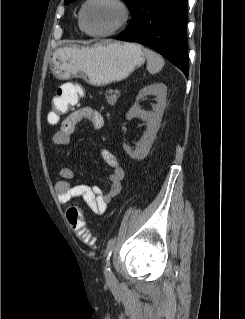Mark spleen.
<instances>
[{
    "label": "spleen",
    "instance_id": "1",
    "mask_svg": "<svg viewBox=\"0 0 245 319\" xmlns=\"http://www.w3.org/2000/svg\"><path fill=\"white\" fill-rule=\"evenodd\" d=\"M143 51L147 58V70L151 74H156L161 71L165 64L164 59L159 54L150 49L144 48Z\"/></svg>",
    "mask_w": 245,
    "mask_h": 319
}]
</instances>
